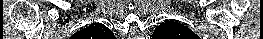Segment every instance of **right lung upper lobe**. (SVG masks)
Listing matches in <instances>:
<instances>
[{"label": "right lung upper lobe", "mask_w": 263, "mask_h": 39, "mask_svg": "<svg viewBox=\"0 0 263 39\" xmlns=\"http://www.w3.org/2000/svg\"><path fill=\"white\" fill-rule=\"evenodd\" d=\"M75 36L85 39H112L114 34L105 25L101 23H94L75 33Z\"/></svg>", "instance_id": "cb5924a9"}]
</instances>
